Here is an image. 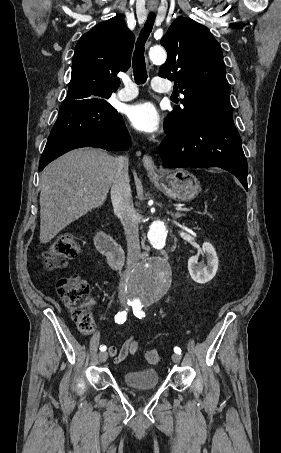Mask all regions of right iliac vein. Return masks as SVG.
Here are the masks:
<instances>
[{"label": "right iliac vein", "instance_id": "63e3f726", "mask_svg": "<svg viewBox=\"0 0 281 453\" xmlns=\"http://www.w3.org/2000/svg\"><path fill=\"white\" fill-rule=\"evenodd\" d=\"M107 352H108V351H106V353H101V354H99V356H100L99 359H100L104 364H105V362H106L107 359H108L107 357H108L109 354H108Z\"/></svg>", "mask_w": 281, "mask_h": 453}]
</instances>
